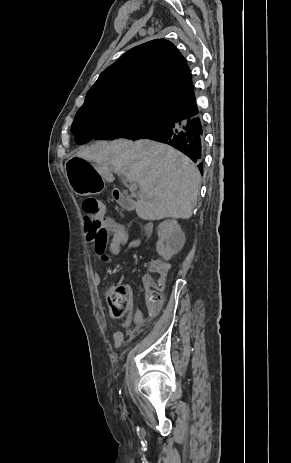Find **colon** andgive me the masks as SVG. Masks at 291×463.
Listing matches in <instances>:
<instances>
[{
    "label": "colon",
    "mask_w": 291,
    "mask_h": 463,
    "mask_svg": "<svg viewBox=\"0 0 291 463\" xmlns=\"http://www.w3.org/2000/svg\"><path fill=\"white\" fill-rule=\"evenodd\" d=\"M82 210L86 220L84 229L101 228V219L105 215V205L95 199L86 198L82 203ZM167 266L159 261L149 264V274L146 282V304L150 315H154L164 301V286ZM107 300L115 318H123L128 314L130 292L124 286H113L107 292Z\"/></svg>",
    "instance_id": "1"
}]
</instances>
